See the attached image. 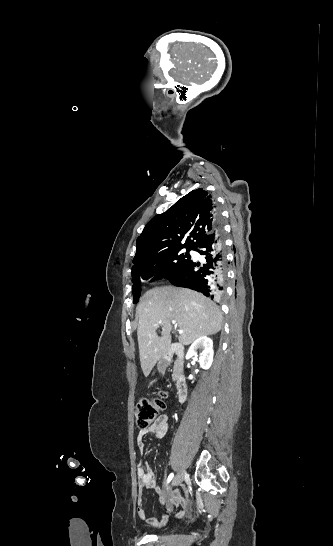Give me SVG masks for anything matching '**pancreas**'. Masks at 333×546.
Wrapping results in <instances>:
<instances>
[{
    "mask_svg": "<svg viewBox=\"0 0 333 546\" xmlns=\"http://www.w3.org/2000/svg\"><path fill=\"white\" fill-rule=\"evenodd\" d=\"M176 379H177V377H176V376H175V377H173V380H176Z\"/></svg>",
    "mask_w": 333,
    "mask_h": 546,
    "instance_id": "obj_1",
    "label": "pancreas"
}]
</instances>
